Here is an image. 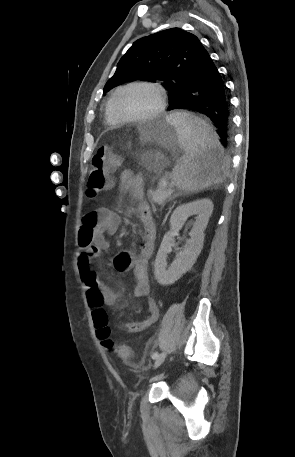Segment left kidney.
Wrapping results in <instances>:
<instances>
[{"instance_id": "obj_1", "label": "left kidney", "mask_w": 295, "mask_h": 457, "mask_svg": "<svg viewBox=\"0 0 295 457\" xmlns=\"http://www.w3.org/2000/svg\"><path fill=\"white\" fill-rule=\"evenodd\" d=\"M213 211V203L209 199L196 200L178 206L170 218V231L161 242L155 264L154 275L157 282L163 286L171 285L188 272L196 262L204 242V230ZM196 215L192 230L182 250L176 255L175 260L167 265V255L170 251L173 235L181 229L182 224L191 216Z\"/></svg>"}]
</instances>
